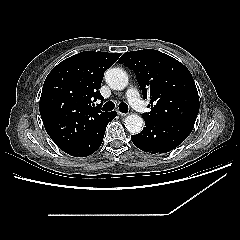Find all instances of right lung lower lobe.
<instances>
[{"instance_id":"1","label":"right lung lower lobe","mask_w":240,"mask_h":240,"mask_svg":"<svg viewBox=\"0 0 240 240\" xmlns=\"http://www.w3.org/2000/svg\"><path fill=\"white\" fill-rule=\"evenodd\" d=\"M116 115V112H109L91 138L75 147L68 148L63 151L74 157H86L93 154L102 144L107 124L113 120Z\"/></svg>"}]
</instances>
